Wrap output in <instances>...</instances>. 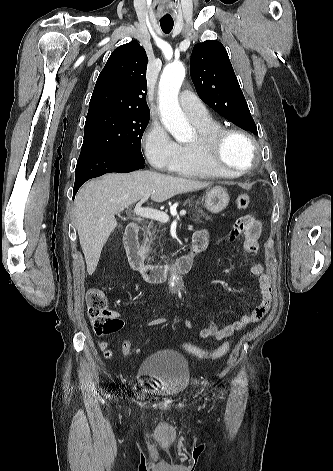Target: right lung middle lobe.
Masks as SVG:
<instances>
[{
    "instance_id": "right-lung-middle-lobe-1",
    "label": "right lung middle lobe",
    "mask_w": 333,
    "mask_h": 471,
    "mask_svg": "<svg viewBox=\"0 0 333 471\" xmlns=\"http://www.w3.org/2000/svg\"><path fill=\"white\" fill-rule=\"evenodd\" d=\"M150 115L110 112L87 117L80 154L113 153L145 162L141 138Z\"/></svg>"
}]
</instances>
